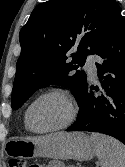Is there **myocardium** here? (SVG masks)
I'll return each instance as SVG.
<instances>
[{
	"label": "myocardium",
	"instance_id": "myocardium-1",
	"mask_svg": "<svg viewBox=\"0 0 125 167\" xmlns=\"http://www.w3.org/2000/svg\"><path fill=\"white\" fill-rule=\"evenodd\" d=\"M49 96H56L63 100V102L65 103L67 107V115L65 119L56 126H53L47 129H43V130L34 129L30 124V112L33 106L37 102ZM76 114H77L76 105L70 93L63 88L55 87V88H50L44 91L43 93L39 94L36 98H34L31 101V103L28 105L26 112H25V121H26L27 128L31 130L32 132L38 133V134H47V133L56 132V131H59L61 129L68 127L74 121Z\"/></svg>",
	"mask_w": 125,
	"mask_h": 167
}]
</instances>
